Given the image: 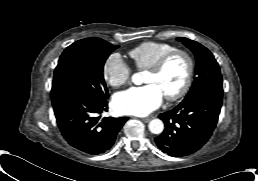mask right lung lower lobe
Returning <instances> with one entry per match:
<instances>
[{"label": "right lung lower lobe", "mask_w": 258, "mask_h": 181, "mask_svg": "<svg viewBox=\"0 0 258 181\" xmlns=\"http://www.w3.org/2000/svg\"><path fill=\"white\" fill-rule=\"evenodd\" d=\"M57 124L65 140L74 148L92 155L108 151L127 117H104L108 102L96 101L80 93L57 89L51 92Z\"/></svg>", "instance_id": "98d812e1"}]
</instances>
